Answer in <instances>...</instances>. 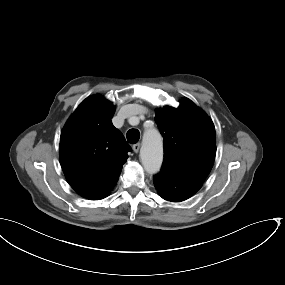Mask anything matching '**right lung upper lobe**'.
<instances>
[{"label":"right lung upper lobe","mask_w":285,"mask_h":285,"mask_svg":"<svg viewBox=\"0 0 285 285\" xmlns=\"http://www.w3.org/2000/svg\"><path fill=\"white\" fill-rule=\"evenodd\" d=\"M114 105L90 96L75 110L60 137V163L71 187L90 200L105 198L116 185L127 153L123 134L112 124Z\"/></svg>","instance_id":"1"}]
</instances>
